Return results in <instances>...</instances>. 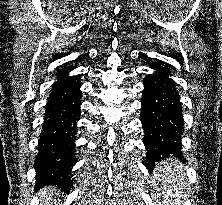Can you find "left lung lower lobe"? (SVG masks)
<instances>
[{"label":"left lung lower lobe","instance_id":"0a47b994","mask_svg":"<svg viewBox=\"0 0 222 205\" xmlns=\"http://www.w3.org/2000/svg\"><path fill=\"white\" fill-rule=\"evenodd\" d=\"M151 68L158 74L144 78L140 116L145 131L147 167L170 156L183 158L179 139L183 127L179 94L167 68L157 63ZM160 151L164 156L157 157Z\"/></svg>","mask_w":222,"mask_h":205}]
</instances>
